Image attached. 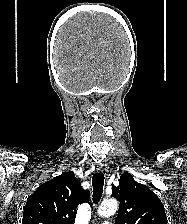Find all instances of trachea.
<instances>
[{
    "label": "trachea",
    "mask_w": 187,
    "mask_h": 224,
    "mask_svg": "<svg viewBox=\"0 0 187 224\" xmlns=\"http://www.w3.org/2000/svg\"><path fill=\"white\" fill-rule=\"evenodd\" d=\"M93 186V202L97 204L102 197L104 186V174L102 172L95 173L92 177Z\"/></svg>",
    "instance_id": "1"
}]
</instances>
